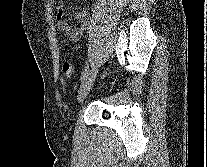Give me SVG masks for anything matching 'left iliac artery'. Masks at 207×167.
<instances>
[{
    "label": "left iliac artery",
    "mask_w": 207,
    "mask_h": 167,
    "mask_svg": "<svg viewBox=\"0 0 207 167\" xmlns=\"http://www.w3.org/2000/svg\"><path fill=\"white\" fill-rule=\"evenodd\" d=\"M88 72H89V67L86 66V67L84 68L83 72H82L81 79H80L81 81L84 80V78L87 76Z\"/></svg>",
    "instance_id": "1"
}]
</instances>
